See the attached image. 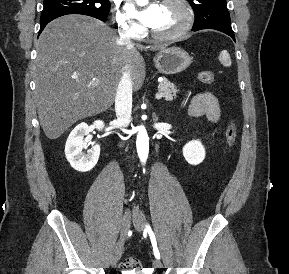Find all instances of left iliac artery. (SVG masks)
Masks as SVG:
<instances>
[{"instance_id":"1","label":"left iliac artery","mask_w":289,"mask_h":274,"mask_svg":"<svg viewBox=\"0 0 289 274\" xmlns=\"http://www.w3.org/2000/svg\"><path fill=\"white\" fill-rule=\"evenodd\" d=\"M145 232H148V234H149V237H150V240H151V243H152V247H153L154 256L157 259H160V253H159V250H158V247H157L156 237H155V234L153 233V231H152V229H151L149 224L146 225Z\"/></svg>"}]
</instances>
